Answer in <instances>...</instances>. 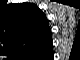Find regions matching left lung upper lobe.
<instances>
[{"label": "left lung upper lobe", "instance_id": "left-lung-upper-lobe-1", "mask_svg": "<svg viewBox=\"0 0 80 60\" xmlns=\"http://www.w3.org/2000/svg\"><path fill=\"white\" fill-rule=\"evenodd\" d=\"M15 20L20 22L18 26L12 27L14 34L13 49L21 51L31 48L40 40L38 34L40 23L45 16L42 11L34 4L23 3L13 7Z\"/></svg>", "mask_w": 80, "mask_h": 60}]
</instances>
